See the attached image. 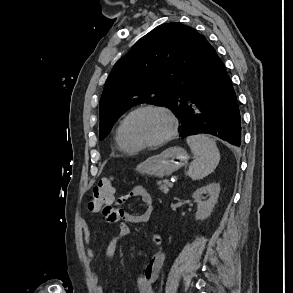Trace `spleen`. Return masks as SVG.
<instances>
[{"instance_id":"1","label":"spleen","mask_w":293,"mask_h":293,"mask_svg":"<svg viewBox=\"0 0 293 293\" xmlns=\"http://www.w3.org/2000/svg\"><path fill=\"white\" fill-rule=\"evenodd\" d=\"M195 159L191 162L188 175L200 180L212 173L220 160V153L214 140L204 134L189 136L186 139Z\"/></svg>"}]
</instances>
